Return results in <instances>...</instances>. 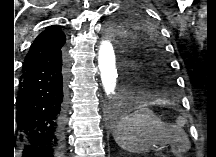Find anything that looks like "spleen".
<instances>
[{
	"label": "spleen",
	"instance_id": "obj_1",
	"mask_svg": "<svg viewBox=\"0 0 216 157\" xmlns=\"http://www.w3.org/2000/svg\"><path fill=\"white\" fill-rule=\"evenodd\" d=\"M115 142L125 151L146 153L155 145H176L178 135L167 130L165 124L148 108H141L123 117L113 133Z\"/></svg>",
	"mask_w": 216,
	"mask_h": 157
}]
</instances>
